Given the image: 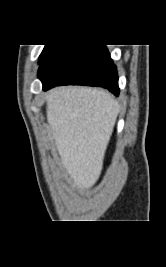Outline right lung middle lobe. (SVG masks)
<instances>
[{
    "label": "right lung middle lobe",
    "instance_id": "1",
    "mask_svg": "<svg viewBox=\"0 0 166 267\" xmlns=\"http://www.w3.org/2000/svg\"><path fill=\"white\" fill-rule=\"evenodd\" d=\"M53 47V45H45L40 57H39V63L42 61V59L45 57V55L49 52V50Z\"/></svg>",
    "mask_w": 166,
    "mask_h": 267
}]
</instances>
